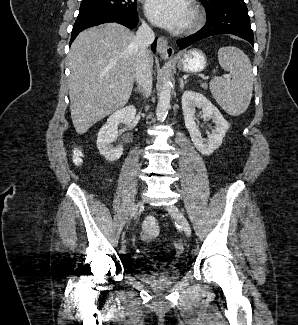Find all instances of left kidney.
Segmentation results:
<instances>
[{"label": "left kidney", "instance_id": "1", "mask_svg": "<svg viewBox=\"0 0 298 325\" xmlns=\"http://www.w3.org/2000/svg\"><path fill=\"white\" fill-rule=\"evenodd\" d=\"M182 110L184 114L185 126L189 130L191 140L199 152L202 154H212L215 148H219L225 132H227L230 124L219 108L206 98L201 92L194 90H184L181 98ZM196 108H202L205 120H213L214 126L212 132H207L208 138H202V134L195 122L194 114Z\"/></svg>", "mask_w": 298, "mask_h": 325}]
</instances>
